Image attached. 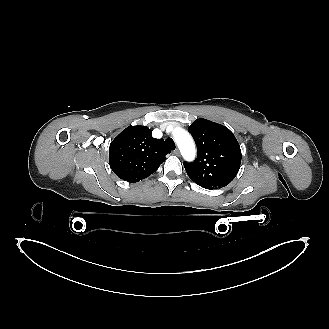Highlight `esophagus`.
Segmentation results:
<instances>
[{"instance_id": "1", "label": "esophagus", "mask_w": 329, "mask_h": 329, "mask_svg": "<svg viewBox=\"0 0 329 329\" xmlns=\"http://www.w3.org/2000/svg\"><path fill=\"white\" fill-rule=\"evenodd\" d=\"M173 153H174L175 155H177V156L180 155V151H179L178 149H175V150L173 151Z\"/></svg>"}]
</instances>
